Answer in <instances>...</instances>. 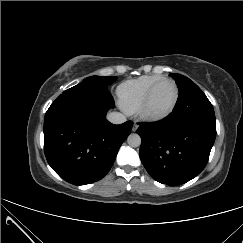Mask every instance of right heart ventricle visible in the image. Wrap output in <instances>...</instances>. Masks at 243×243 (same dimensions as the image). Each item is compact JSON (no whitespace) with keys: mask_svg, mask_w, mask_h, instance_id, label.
Wrapping results in <instances>:
<instances>
[{"mask_svg":"<svg viewBox=\"0 0 243 243\" xmlns=\"http://www.w3.org/2000/svg\"><path fill=\"white\" fill-rule=\"evenodd\" d=\"M164 77L161 75H143L136 79L123 82L117 88L119 103L124 111H138L149 89Z\"/></svg>","mask_w":243,"mask_h":243,"instance_id":"right-heart-ventricle-1","label":"right heart ventricle"}]
</instances>
